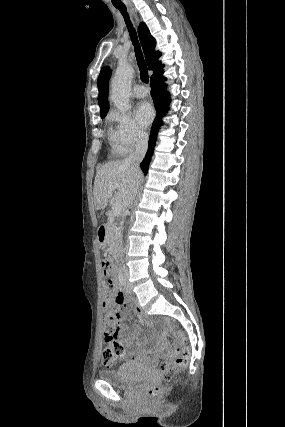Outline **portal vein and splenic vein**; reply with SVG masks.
I'll return each instance as SVG.
<instances>
[{
  "label": "portal vein and splenic vein",
  "mask_w": 285,
  "mask_h": 427,
  "mask_svg": "<svg viewBox=\"0 0 285 427\" xmlns=\"http://www.w3.org/2000/svg\"><path fill=\"white\" fill-rule=\"evenodd\" d=\"M117 186H118L117 184H112L110 187V190L114 191L117 188ZM122 206H123L122 202L119 200H116L112 206L113 215L119 214L122 209Z\"/></svg>",
  "instance_id": "portal-vein-and-splenic-vein-1"
}]
</instances>
